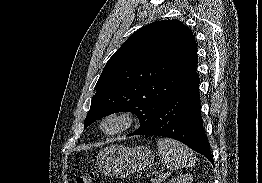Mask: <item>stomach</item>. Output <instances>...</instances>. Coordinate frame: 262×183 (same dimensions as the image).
<instances>
[{
    "instance_id": "stomach-1",
    "label": "stomach",
    "mask_w": 262,
    "mask_h": 183,
    "mask_svg": "<svg viewBox=\"0 0 262 183\" xmlns=\"http://www.w3.org/2000/svg\"><path fill=\"white\" fill-rule=\"evenodd\" d=\"M153 163L152 151L144 146L129 148L123 145H110L102 150L96 159L98 168L105 175L120 178L148 169Z\"/></svg>"
}]
</instances>
